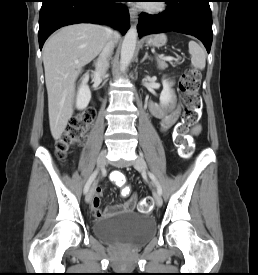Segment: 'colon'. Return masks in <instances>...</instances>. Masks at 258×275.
I'll return each mask as SVG.
<instances>
[{
    "label": "colon",
    "mask_w": 258,
    "mask_h": 275,
    "mask_svg": "<svg viewBox=\"0 0 258 275\" xmlns=\"http://www.w3.org/2000/svg\"><path fill=\"white\" fill-rule=\"evenodd\" d=\"M199 85L200 73L196 69L188 70L180 77L179 89L183 94L185 109L181 123L176 129V143L183 157H189L192 153L193 145L188 133L196 126L201 116L202 100L199 94ZM93 118L94 112L90 109L84 110L71 118L56 144V153L59 158H64L74 145L82 141ZM111 180L117 187L122 189L124 195L130 193L124 173L120 171L113 172ZM138 208L143 213L149 212L152 209V199L150 197L142 199Z\"/></svg>",
    "instance_id": "5ec220e1"
}]
</instances>
